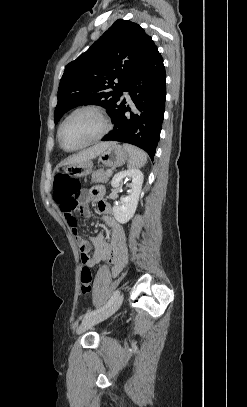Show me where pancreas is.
Returning <instances> with one entry per match:
<instances>
[{
    "instance_id": "pancreas-1",
    "label": "pancreas",
    "mask_w": 247,
    "mask_h": 407,
    "mask_svg": "<svg viewBox=\"0 0 247 407\" xmlns=\"http://www.w3.org/2000/svg\"><path fill=\"white\" fill-rule=\"evenodd\" d=\"M112 172L105 171L104 169H98L95 172H93L91 181L94 183H106L109 181V178L111 177Z\"/></svg>"
}]
</instances>
